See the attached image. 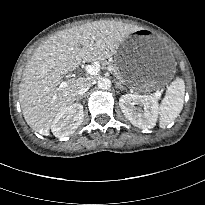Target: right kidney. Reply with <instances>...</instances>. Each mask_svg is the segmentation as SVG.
Returning a JSON list of instances; mask_svg holds the SVG:
<instances>
[{
  "label": "right kidney",
  "mask_w": 205,
  "mask_h": 205,
  "mask_svg": "<svg viewBox=\"0 0 205 205\" xmlns=\"http://www.w3.org/2000/svg\"><path fill=\"white\" fill-rule=\"evenodd\" d=\"M84 117L83 106L80 103L67 106L57 113L51 130L55 137L65 138L75 132L81 125Z\"/></svg>",
  "instance_id": "1"
}]
</instances>
